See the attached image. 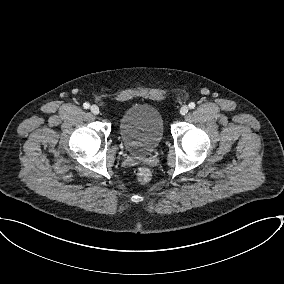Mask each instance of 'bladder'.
<instances>
[{
	"label": "bladder",
	"mask_w": 284,
	"mask_h": 284,
	"mask_svg": "<svg viewBox=\"0 0 284 284\" xmlns=\"http://www.w3.org/2000/svg\"><path fill=\"white\" fill-rule=\"evenodd\" d=\"M118 128L126 150L142 157L158 147L164 133L160 112L147 104L129 107L120 117Z\"/></svg>",
	"instance_id": "obj_1"
}]
</instances>
